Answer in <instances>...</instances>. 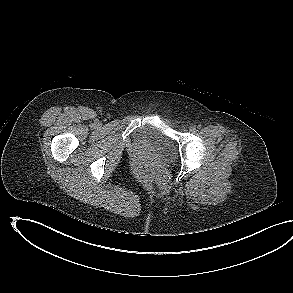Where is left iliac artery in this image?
I'll return each instance as SVG.
<instances>
[{
	"mask_svg": "<svg viewBox=\"0 0 293 293\" xmlns=\"http://www.w3.org/2000/svg\"><path fill=\"white\" fill-rule=\"evenodd\" d=\"M201 127H202V126H201L200 124L197 126L198 129H201Z\"/></svg>",
	"mask_w": 293,
	"mask_h": 293,
	"instance_id": "44dca946",
	"label": "left iliac artery"
}]
</instances>
